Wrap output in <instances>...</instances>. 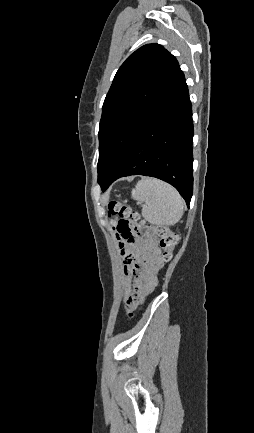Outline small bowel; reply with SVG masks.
Listing matches in <instances>:
<instances>
[{
	"instance_id": "1",
	"label": "small bowel",
	"mask_w": 254,
	"mask_h": 433,
	"mask_svg": "<svg viewBox=\"0 0 254 433\" xmlns=\"http://www.w3.org/2000/svg\"><path fill=\"white\" fill-rule=\"evenodd\" d=\"M121 254L127 300H140L157 286V274L164 264L154 236H137L132 244L124 247Z\"/></svg>"
}]
</instances>
